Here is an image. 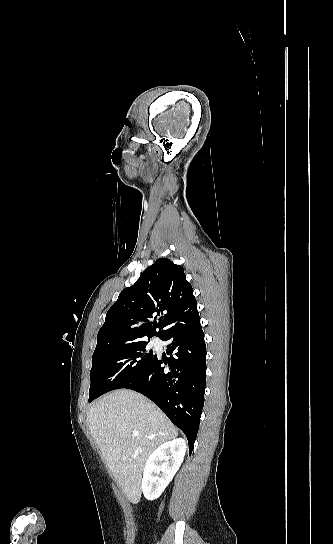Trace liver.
I'll return each mask as SVG.
<instances>
[{"label":"liver","mask_w":333,"mask_h":544,"mask_svg":"<svg viewBox=\"0 0 333 544\" xmlns=\"http://www.w3.org/2000/svg\"><path fill=\"white\" fill-rule=\"evenodd\" d=\"M87 424L114 480L127 499L141 498L144 463L160 444L178 436L162 411L143 395L126 389L100 399L87 413ZM138 431V436L132 432Z\"/></svg>","instance_id":"obj_1"}]
</instances>
